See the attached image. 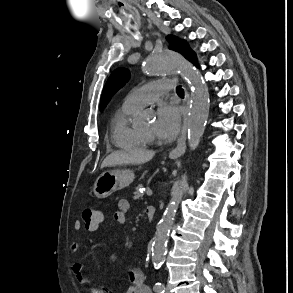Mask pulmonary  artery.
<instances>
[{
    "label": "pulmonary artery",
    "mask_w": 293,
    "mask_h": 293,
    "mask_svg": "<svg viewBox=\"0 0 293 293\" xmlns=\"http://www.w3.org/2000/svg\"><path fill=\"white\" fill-rule=\"evenodd\" d=\"M175 80H160L147 83L132 90L125 98L123 105L130 108L141 109L160 96L175 89Z\"/></svg>",
    "instance_id": "pulmonary-artery-1"
}]
</instances>
